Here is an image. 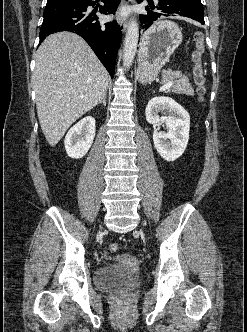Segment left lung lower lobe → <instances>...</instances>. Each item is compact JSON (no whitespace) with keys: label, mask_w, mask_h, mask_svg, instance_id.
I'll list each match as a JSON object with an SVG mask.
<instances>
[{"label":"left lung lower lobe","mask_w":247,"mask_h":332,"mask_svg":"<svg viewBox=\"0 0 247 332\" xmlns=\"http://www.w3.org/2000/svg\"><path fill=\"white\" fill-rule=\"evenodd\" d=\"M143 0H137L141 3ZM155 6L153 1L148 0L149 6H146L147 14L140 15V21L143 23L142 29L146 30L155 20L163 16H184L202 25L204 21V10L201 0H157Z\"/></svg>","instance_id":"obj_1"}]
</instances>
